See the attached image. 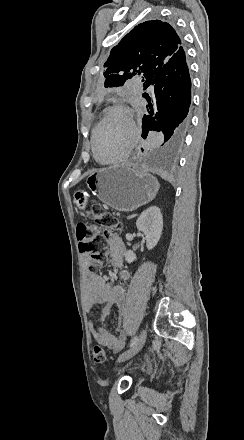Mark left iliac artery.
Returning a JSON list of instances; mask_svg holds the SVG:
<instances>
[{"label":"left iliac artery","mask_w":244,"mask_h":440,"mask_svg":"<svg viewBox=\"0 0 244 440\" xmlns=\"http://www.w3.org/2000/svg\"><path fill=\"white\" fill-rule=\"evenodd\" d=\"M137 340H138V337L134 336L130 342V347H132L137 342Z\"/></svg>","instance_id":"left-iliac-artery-1"}]
</instances>
